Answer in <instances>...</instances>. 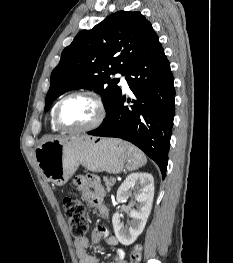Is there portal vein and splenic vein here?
<instances>
[{
	"mask_svg": "<svg viewBox=\"0 0 233 263\" xmlns=\"http://www.w3.org/2000/svg\"><path fill=\"white\" fill-rule=\"evenodd\" d=\"M112 180L116 181V179L114 177H112Z\"/></svg>",
	"mask_w": 233,
	"mask_h": 263,
	"instance_id": "obj_1",
	"label": "portal vein and splenic vein"
}]
</instances>
